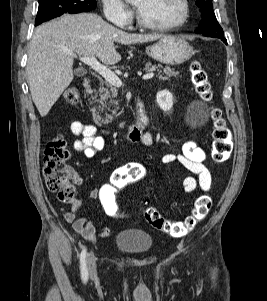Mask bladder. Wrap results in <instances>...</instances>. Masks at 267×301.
Here are the masks:
<instances>
[{"instance_id":"bladder-1","label":"bladder","mask_w":267,"mask_h":301,"mask_svg":"<svg viewBox=\"0 0 267 301\" xmlns=\"http://www.w3.org/2000/svg\"><path fill=\"white\" fill-rule=\"evenodd\" d=\"M115 245L129 254H146L152 250L153 238L144 230L123 229L116 235Z\"/></svg>"}]
</instances>
